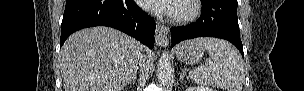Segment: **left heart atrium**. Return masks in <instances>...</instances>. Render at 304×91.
<instances>
[{
    "label": "left heart atrium",
    "mask_w": 304,
    "mask_h": 91,
    "mask_svg": "<svg viewBox=\"0 0 304 91\" xmlns=\"http://www.w3.org/2000/svg\"><path fill=\"white\" fill-rule=\"evenodd\" d=\"M177 0H142L141 6L147 10L174 15Z\"/></svg>",
    "instance_id": "39dd6f15"
}]
</instances>
